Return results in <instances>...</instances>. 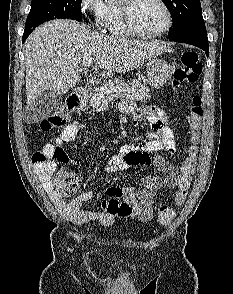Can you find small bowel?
Masks as SVG:
<instances>
[{
    "label": "small bowel",
    "mask_w": 233,
    "mask_h": 294,
    "mask_svg": "<svg viewBox=\"0 0 233 294\" xmlns=\"http://www.w3.org/2000/svg\"><path fill=\"white\" fill-rule=\"evenodd\" d=\"M141 108L135 107L131 102L124 101L121 111L133 117L135 125H138L143 117L150 124L149 140L143 143H130L121 146L107 164L110 173L127 170L132 166H153L164 173V176H146L142 180V187L135 186L117 187L109 186L106 189L108 199L102 202L103 211L95 212L85 208L84 203L91 199L92 192H84L74 199L68 200L56 188L53 175L57 168V162H68L69 157L61 148L63 143H71L76 136L86 130L87 126L80 120H74L63 127L54 140L44 147V152L50 161L37 163L36 172L50 199L68 221L82 225L90 221H98L107 225L113 222L115 217H137L143 222L150 221L153 217V197L163 188H175L178 186V166L162 155L150 157L151 153L166 151L170 155L176 152V143L172 130L167 125L164 112L150 105L141 103ZM123 201H120V199ZM121 204L130 207L128 214L120 212Z\"/></svg>",
    "instance_id": "1"
}]
</instances>
